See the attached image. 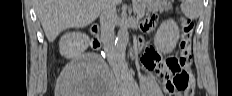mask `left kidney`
I'll return each mask as SVG.
<instances>
[{"instance_id":"obj_1","label":"left kidney","mask_w":232,"mask_h":96,"mask_svg":"<svg viewBox=\"0 0 232 96\" xmlns=\"http://www.w3.org/2000/svg\"><path fill=\"white\" fill-rule=\"evenodd\" d=\"M179 28L172 19L161 23L154 36V45L163 54L171 53L179 40Z\"/></svg>"}]
</instances>
